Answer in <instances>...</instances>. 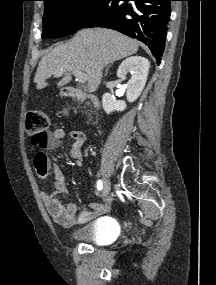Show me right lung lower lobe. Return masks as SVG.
Masks as SVG:
<instances>
[{
	"mask_svg": "<svg viewBox=\"0 0 216 285\" xmlns=\"http://www.w3.org/2000/svg\"><path fill=\"white\" fill-rule=\"evenodd\" d=\"M173 0H104L80 28L117 30L146 44L160 64Z\"/></svg>",
	"mask_w": 216,
	"mask_h": 285,
	"instance_id": "1",
	"label": "right lung lower lobe"
}]
</instances>
